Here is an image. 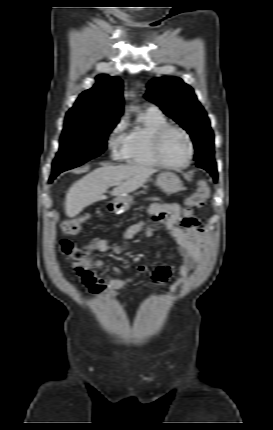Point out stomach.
Returning a JSON list of instances; mask_svg holds the SVG:
<instances>
[{"label": "stomach", "mask_w": 273, "mask_h": 430, "mask_svg": "<svg viewBox=\"0 0 273 430\" xmlns=\"http://www.w3.org/2000/svg\"><path fill=\"white\" fill-rule=\"evenodd\" d=\"M157 185L167 194H173L183 189L182 181L173 172H162L157 176ZM132 198L130 196H118L113 204L114 210L124 211L130 208Z\"/></svg>", "instance_id": "1"}]
</instances>
